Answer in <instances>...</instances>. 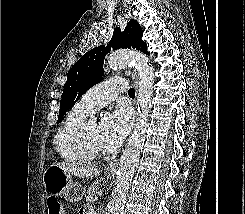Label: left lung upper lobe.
Returning a JSON list of instances; mask_svg holds the SVG:
<instances>
[{
  "label": "left lung upper lobe",
  "instance_id": "5c2ea615",
  "mask_svg": "<svg viewBox=\"0 0 245 214\" xmlns=\"http://www.w3.org/2000/svg\"><path fill=\"white\" fill-rule=\"evenodd\" d=\"M143 31L136 20H130L121 32L117 27L109 44L98 46L85 53L69 70L64 85L57 123H60L66 111L93 85L102 80L103 63L111 48H133L149 55L147 44L141 40Z\"/></svg>",
  "mask_w": 245,
  "mask_h": 214
}]
</instances>
